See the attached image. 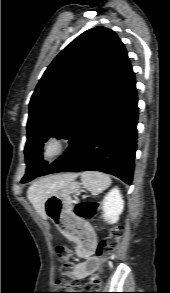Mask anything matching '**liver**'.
<instances>
[{
    "label": "liver",
    "mask_w": 170,
    "mask_h": 293,
    "mask_svg": "<svg viewBox=\"0 0 170 293\" xmlns=\"http://www.w3.org/2000/svg\"><path fill=\"white\" fill-rule=\"evenodd\" d=\"M76 177L77 174H59L48 176L35 182L29 187L27 191V197L36 212L43 219H46L44 203L48 196L67 182L74 180Z\"/></svg>",
    "instance_id": "1"
}]
</instances>
